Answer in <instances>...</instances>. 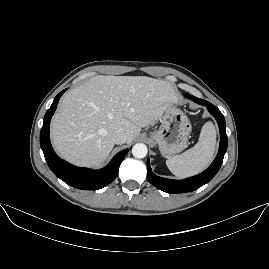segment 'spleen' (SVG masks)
<instances>
[{
    "instance_id": "obj_1",
    "label": "spleen",
    "mask_w": 269,
    "mask_h": 269,
    "mask_svg": "<svg viewBox=\"0 0 269 269\" xmlns=\"http://www.w3.org/2000/svg\"><path fill=\"white\" fill-rule=\"evenodd\" d=\"M215 148L216 129L209 121L203 125L198 143L183 154L167 159L166 165L177 178L196 175L209 166Z\"/></svg>"
}]
</instances>
